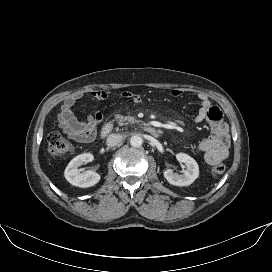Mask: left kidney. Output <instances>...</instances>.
<instances>
[{"instance_id": "left-kidney-1", "label": "left kidney", "mask_w": 272, "mask_h": 272, "mask_svg": "<svg viewBox=\"0 0 272 272\" xmlns=\"http://www.w3.org/2000/svg\"><path fill=\"white\" fill-rule=\"evenodd\" d=\"M176 159L186 165V170L183 174L174 173L171 169L164 171L165 179L175 186H188L192 184L199 176L198 163L189 155L185 153H178Z\"/></svg>"}]
</instances>
